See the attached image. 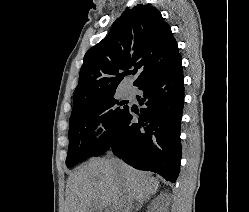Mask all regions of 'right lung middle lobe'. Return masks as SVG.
Segmentation results:
<instances>
[{
  "mask_svg": "<svg viewBox=\"0 0 249 212\" xmlns=\"http://www.w3.org/2000/svg\"><path fill=\"white\" fill-rule=\"evenodd\" d=\"M124 103L114 98V95L105 97L92 104L74 108L71 112L69 126V147L66 166L74 164L96 155L101 149L104 140L113 126L124 115L128 106L117 107ZM102 121L106 132L101 139L95 137L94 130Z\"/></svg>",
  "mask_w": 249,
  "mask_h": 212,
  "instance_id": "dd1d6c3e",
  "label": "right lung middle lobe"
}]
</instances>
